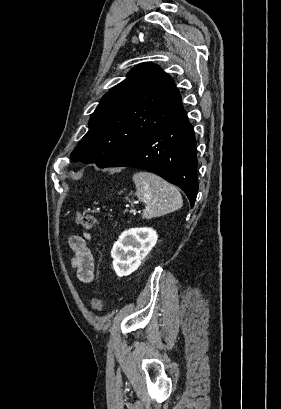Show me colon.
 <instances>
[{"mask_svg":"<svg viewBox=\"0 0 281 409\" xmlns=\"http://www.w3.org/2000/svg\"><path fill=\"white\" fill-rule=\"evenodd\" d=\"M74 216L75 219L86 228H92L96 224V218L89 213L76 211ZM103 309H104L103 297L100 293H98L93 300V310L95 314L100 315L103 312Z\"/></svg>","mask_w":281,"mask_h":409,"instance_id":"1","label":"colon"}]
</instances>
